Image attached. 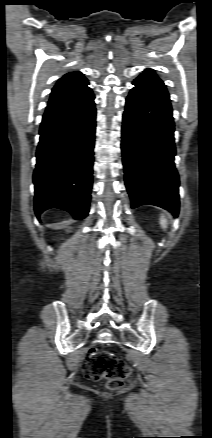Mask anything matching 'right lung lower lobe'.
<instances>
[{
	"mask_svg": "<svg viewBox=\"0 0 212 438\" xmlns=\"http://www.w3.org/2000/svg\"><path fill=\"white\" fill-rule=\"evenodd\" d=\"M96 109L93 93L48 105L40 126L34 170L35 214L58 208L84 219L89 212Z\"/></svg>",
	"mask_w": 212,
	"mask_h": 438,
	"instance_id": "right-lung-lower-lobe-1",
	"label": "right lung lower lobe"
}]
</instances>
